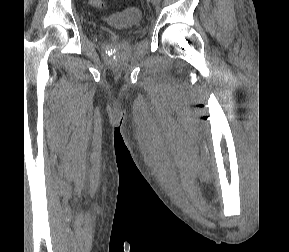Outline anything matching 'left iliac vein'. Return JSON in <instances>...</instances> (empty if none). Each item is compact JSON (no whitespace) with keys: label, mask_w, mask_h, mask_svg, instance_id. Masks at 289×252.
Returning a JSON list of instances; mask_svg holds the SVG:
<instances>
[{"label":"left iliac vein","mask_w":289,"mask_h":252,"mask_svg":"<svg viewBox=\"0 0 289 252\" xmlns=\"http://www.w3.org/2000/svg\"><path fill=\"white\" fill-rule=\"evenodd\" d=\"M154 5L159 3V0H150Z\"/></svg>","instance_id":"left-iliac-vein-1"}]
</instances>
